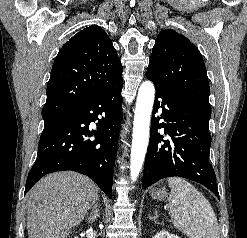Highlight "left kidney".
<instances>
[{"label": "left kidney", "mask_w": 247, "mask_h": 238, "mask_svg": "<svg viewBox=\"0 0 247 238\" xmlns=\"http://www.w3.org/2000/svg\"><path fill=\"white\" fill-rule=\"evenodd\" d=\"M153 238H180L177 235L169 234L167 231H160L156 233Z\"/></svg>", "instance_id": "5707ae66"}]
</instances>
